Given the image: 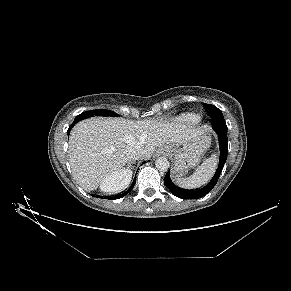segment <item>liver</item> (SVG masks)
Segmentation results:
<instances>
[{
	"mask_svg": "<svg viewBox=\"0 0 291 291\" xmlns=\"http://www.w3.org/2000/svg\"><path fill=\"white\" fill-rule=\"evenodd\" d=\"M202 132L179 122L153 119L98 117L82 120L74 126L69 138L73 177L84 190H96L105 177L120 171L130 161L127 155L130 147H141V157L145 158L157 148L197 140Z\"/></svg>",
	"mask_w": 291,
	"mask_h": 291,
	"instance_id": "1",
	"label": "liver"
}]
</instances>
